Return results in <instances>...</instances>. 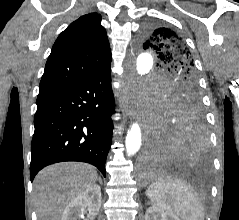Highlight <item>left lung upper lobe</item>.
Instances as JSON below:
<instances>
[{
	"label": "left lung upper lobe",
	"instance_id": "obj_1",
	"mask_svg": "<svg viewBox=\"0 0 239 220\" xmlns=\"http://www.w3.org/2000/svg\"><path fill=\"white\" fill-rule=\"evenodd\" d=\"M142 42L144 49L156 53L158 65L166 67L173 76V82L162 96V109H196L203 112L195 64L182 37L169 27L149 24L143 31Z\"/></svg>",
	"mask_w": 239,
	"mask_h": 220
}]
</instances>
